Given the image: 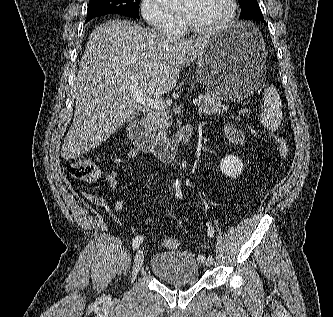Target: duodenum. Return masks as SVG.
<instances>
[{
    "label": "duodenum",
    "mask_w": 333,
    "mask_h": 317,
    "mask_svg": "<svg viewBox=\"0 0 333 317\" xmlns=\"http://www.w3.org/2000/svg\"><path fill=\"white\" fill-rule=\"evenodd\" d=\"M127 133L131 141L143 151L152 153L164 162H171L190 144L196 129L194 125L188 124L181 129L177 138L167 139L150 132L142 121L131 120L127 125Z\"/></svg>",
    "instance_id": "obj_1"
}]
</instances>
